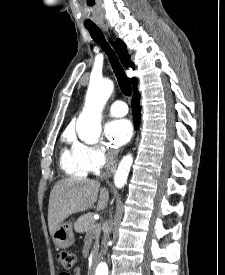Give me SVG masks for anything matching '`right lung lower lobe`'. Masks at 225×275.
Instances as JSON below:
<instances>
[{"label":"right lung lower lobe","mask_w":225,"mask_h":275,"mask_svg":"<svg viewBox=\"0 0 225 275\" xmlns=\"http://www.w3.org/2000/svg\"><path fill=\"white\" fill-rule=\"evenodd\" d=\"M140 96L137 87L133 88V99H132V113L135 129L139 127L140 123Z\"/></svg>","instance_id":"obj_1"}]
</instances>
